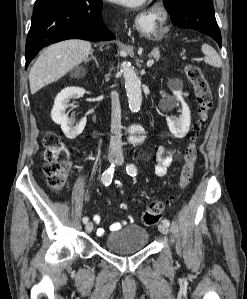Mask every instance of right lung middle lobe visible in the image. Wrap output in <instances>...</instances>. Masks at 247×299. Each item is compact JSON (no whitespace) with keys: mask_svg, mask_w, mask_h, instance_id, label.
<instances>
[{"mask_svg":"<svg viewBox=\"0 0 247 299\" xmlns=\"http://www.w3.org/2000/svg\"><path fill=\"white\" fill-rule=\"evenodd\" d=\"M62 0H36L33 13L38 12L54 3H57Z\"/></svg>","mask_w":247,"mask_h":299,"instance_id":"right-lung-middle-lobe-1","label":"right lung middle lobe"}]
</instances>
